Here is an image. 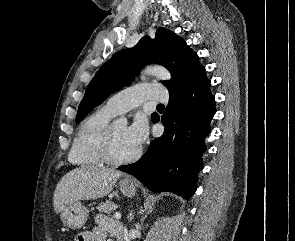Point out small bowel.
<instances>
[{
    "instance_id": "c3829d8e",
    "label": "small bowel",
    "mask_w": 295,
    "mask_h": 241,
    "mask_svg": "<svg viewBox=\"0 0 295 241\" xmlns=\"http://www.w3.org/2000/svg\"><path fill=\"white\" fill-rule=\"evenodd\" d=\"M96 226L92 231L81 233L83 241H107L108 234H112L121 241L123 225L105 214L95 217Z\"/></svg>"
}]
</instances>
